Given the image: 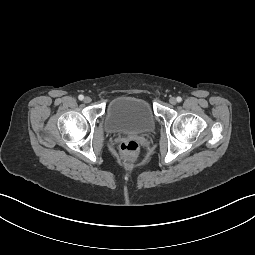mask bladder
<instances>
[{
  "label": "bladder",
  "instance_id": "1",
  "mask_svg": "<svg viewBox=\"0 0 255 255\" xmlns=\"http://www.w3.org/2000/svg\"><path fill=\"white\" fill-rule=\"evenodd\" d=\"M105 127L110 133L144 134L154 129L155 117L146 100L119 96L106 108Z\"/></svg>",
  "mask_w": 255,
  "mask_h": 255
}]
</instances>
